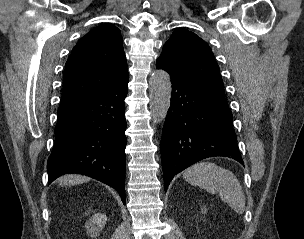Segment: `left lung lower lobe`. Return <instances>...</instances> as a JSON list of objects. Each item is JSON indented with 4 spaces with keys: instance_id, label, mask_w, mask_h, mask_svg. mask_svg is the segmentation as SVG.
<instances>
[{
    "instance_id": "1",
    "label": "left lung lower lobe",
    "mask_w": 304,
    "mask_h": 239,
    "mask_svg": "<svg viewBox=\"0 0 304 239\" xmlns=\"http://www.w3.org/2000/svg\"><path fill=\"white\" fill-rule=\"evenodd\" d=\"M156 68L167 71L172 82L160 143L165 192L177 173L202 159L225 156L244 165L226 98L190 83L159 62Z\"/></svg>"
}]
</instances>
